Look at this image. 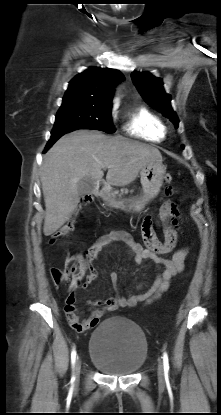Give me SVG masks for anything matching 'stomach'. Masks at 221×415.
Returning <instances> with one entry per match:
<instances>
[{
	"instance_id": "obj_1",
	"label": "stomach",
	"mask_w": 221,
	"mask_h": 415,
	"mask_svg": "<svg viewBox=\"0 0 221 415\" xmlns=\"http://www.w3.org/2000/svg\"><path fill=\"white\" fill-rule=\"evenodd\" d=\"M166 172L165 166L160 162L149 163L141 169L140 181L142 194L136 197L115 199L111 193L106 192L104 197L110 206L122 209L126 212L139 213L146 204L155 198L163 185Z\"/></svg>"
}]
</instances>
